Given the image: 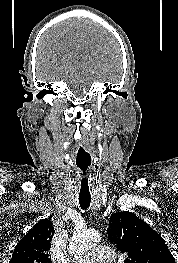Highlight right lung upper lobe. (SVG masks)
<instances>
[{
  "instance_id": "obj_1",
  "label": "right lung upper lobe",
  "mask_w": 178,
  "mask_h": 263,
  "mask_svg": "<svg viewBox=\"0 0 178 263\" xmlns=\"http://www.w3.org/2000/svg\"><path fill=\"white\" fill-rule=\"evenodd\" d=\"M54 233L50 220H40L16 245L9 263H51L49 250Z\"/></svg>"
}]
</instances>
